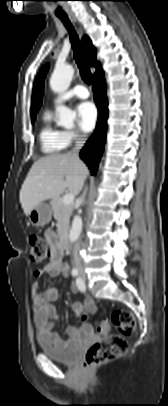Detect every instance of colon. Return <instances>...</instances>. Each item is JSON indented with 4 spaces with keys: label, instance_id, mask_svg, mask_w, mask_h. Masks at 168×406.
<instances>
[{
    "label": "colon",
    "instance_id": "5ec220e1",
    "mask_svg": "<svg viewBox=\"0 0 168 406\" xmlns=\"http://www.w3.org/2000/svg\"><path fill=\"white\" fill-rule=\"evenodd\" d=\"M30 260L39 264L52 254V246L38 235H31L28 240ZM114 326L120 334H110L109 330ZM136 322L133 314L129 311H114L109 319L98 323V331L104 335L96 341L87 351L85 366L99 365L122 356L128 349L125 336L133 333Z\"/></svg>",
    "mask_w": 168,
    "mask_h": 406
}]
</instances>
